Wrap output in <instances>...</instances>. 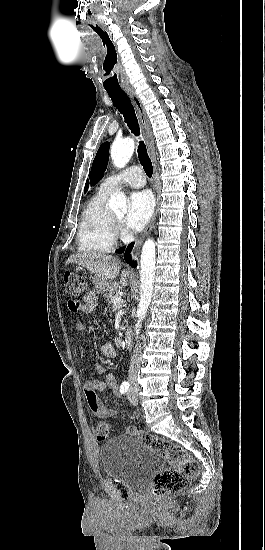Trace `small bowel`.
Segmentation results:
<instances>
[{
  "label": "small bowel",
  "instance_id": "small-bowel-1",
  "mask_svg": "<svg viewBox=\"0 0 265 550\" xmlns=\"http://www.w3.org/2000/svg\"><path fill=\"white\" fill-rule=\"evenodd\" d=\"M98 305V297L94 291H89L84 295L80 311L86 314L92 313ZM75 331L84 333L85 327L82 323L75 324ZM100 354L108 359L116 357V351L110 343H104L99 348ZM96 373L104 375V380H89L84 385V391L87 396V401L90 411L98 418H109L115 414V411L107 408L104 403L95 395V391L103 392L106 390L112 391L116 396H119L117 377L113 373H106L101 365L94 367Z\"/></svg>",
  "mask_w": 265,
  "mask_h": 550
}]
</instances>
